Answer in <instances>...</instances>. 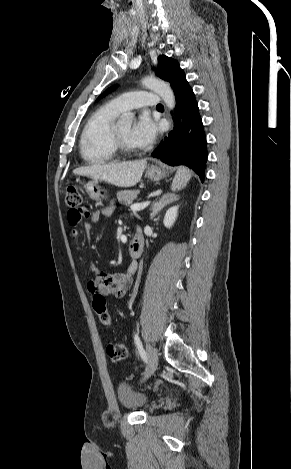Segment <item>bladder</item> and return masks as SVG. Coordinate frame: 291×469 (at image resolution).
<instances>
[{
	"mask_svg": "<svg viewBox=\"0 0 291 469\" xmlns=\"http://www.w3.org/2000/svg\"><path fill=\"white\" fill-rule=\"evenodd\" d=\"M117 397L120 404L130 410H141L148 402L146 395L138 392L130 384L125 382L118 385Z\"/></svg>",
	"mask_w": 291,
	"mask_h": 469,
	"instance_id": "1",
	"label": "bladder"
}]
</instances>
